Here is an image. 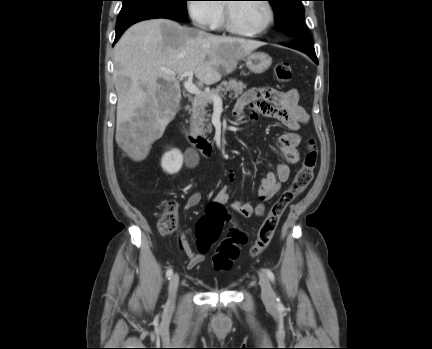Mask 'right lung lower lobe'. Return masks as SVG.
<instances>
[{
    "mask_svg": "<svg viewBox=\"0 0 432 349\" xmlns=\"http://www.w3.org/2000/svg\"><path fill=\"white\" fill-rule=\"evenodd\" d=\"M155 18L170 19L166 16L159 15V14H142V15L131 17L129 19L122 20V21L118 22L117 27H116V37H115L114 44L118 41V39L121 37V35L124 33V31L127 28H129L131 25H133L139 21L148 20V19H155Z\"/></svg>",
    "mask_w": 432,
    "mask_h": 349,
    "instance_id": "right-lung-lower-lobe-1",
    "label": "right lung lower lobe"
}]
</instances>
